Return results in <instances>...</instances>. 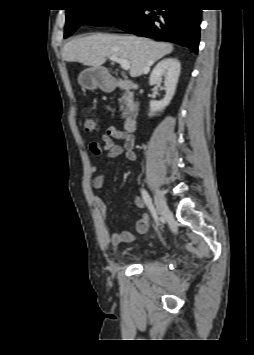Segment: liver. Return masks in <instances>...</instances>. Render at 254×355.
<instances>
[{
  "instance_id": "1",
  "label": "liver",
  "mask_w": 254,
  "mask_h": 355,
  "mask_svg": "<svg viewBox=\"0 0 254 355\" xmlns=\"http://www.w3.org/2000/svg\"><path fill=\"white\" fill-rule=\"evenodd\" d=\"M172 50V44L144 37L95 33L66 43L62 57L67 62H79L94 68H101L111 56L128 59L130 76L139 77L148 73L157 60Z\"/></svg>"
}]
</instances>
